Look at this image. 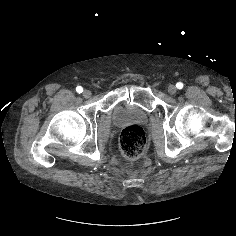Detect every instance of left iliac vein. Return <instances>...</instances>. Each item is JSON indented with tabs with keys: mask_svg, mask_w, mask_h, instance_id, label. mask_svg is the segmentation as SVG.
I'll return each mask as SVG.
<instances>
[{
	"mask_svg": "<svg viewBox=\"0 0 236 236\" xmlns=\"http://www.w3.org/2000/svg\"><path fill=\"white\" fill-rule=\"evenodd\" d=\"M176 91H177V88H176L175 85H169V86H168V92H169L170 94H175Z\"/></svg>",
	"mask_w": 236,
	"mask_h": 236,
	"instance_id": "1",
	"label": "left iliac vein"
}]
</instances>
